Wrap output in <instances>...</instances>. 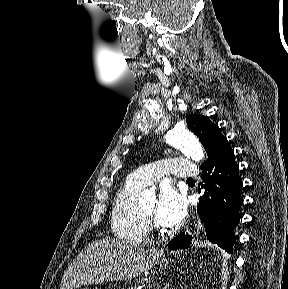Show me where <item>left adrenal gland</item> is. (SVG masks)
<instances>
[{
    "instance_id": "left-adrenal-gland-1",
    "label": "left adrenal gland",
    "mask_w": 288,
    "mask_h": 289,
    "mask_svg": "<svg viewBox=\"0 0 288 289\" xmlns=\"http://www.w3.org/2000/svg\"><path fill=\"white\" fill-rule=\"evenodd\" d=\"M169 286V284H166L165 289Z\"/></svg>"
}]
</instances>
